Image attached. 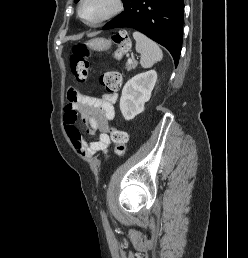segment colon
<instances>
[{
    "label": "colon",
    "mask_w": 248,
    "mask_h": 258,
    "mask_svg": "<svg viewBox=\"0 0 248 258\" xmlns=\"http://www.w3.org/2000/svg\"><path fill=\"white\" fill-rule=\"evenodd\" d=\"M113 41L117 44L118 49L116 57H121L130 49V40L125 31H118L112 36ZM88 49L83 44H77L72 49L69 59L70 69L77 81L85 83L89 78V61L87 59ZM103 83L109 91H117L120 87V78L115 72H109L104 75ZM109 134L116 144V154L122 156L126 150L128 135L125 131L115 128L109 129Z\"/></svg>",
    "instance_id": "obj_1"
}]
</instances>
